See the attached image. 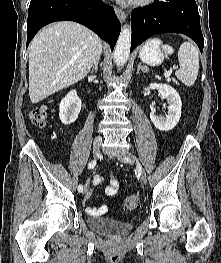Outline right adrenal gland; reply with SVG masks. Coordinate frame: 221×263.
Returning a JSON list of instances; mask_svg holds the SVG:
<instances>
[{"label":"right adrenal gland","mask_w":221,"mask_h":263,"mask_svg":"<svg viewBox=\"0 0 221 263\" xmlns=\"http://www.w3.org/2000/svg\"><path fill=\"white\" fill-rule=\"evenodd\" d=\"M99 61H100V58H98L97 61L94 62L91 73L97 72Z\"/></svg>","instance_id":"2a0ac1e0"}]
</instances>
